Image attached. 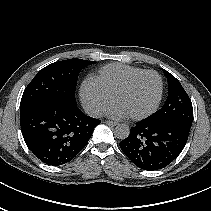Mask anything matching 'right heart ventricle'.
<instances>
[{
	"label": "right heart ventricle",
	"mask_w": 211,
	"mask_h": 211,
	"mask_svg": "<svg viewBox=\"0 0 211 211\" xmlns=\"http://www.w3.org/2000/svg\"><path fill=\"white\" fill-rule=\"evenodd\" d=\"M145 69L131 65L113 63L103 66L93 76L108 93H113L129 78L144 71Z\"/></svg>",
	"instance_id": "right-heart-ventricle-1"
}]
</instances>
